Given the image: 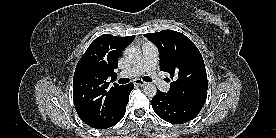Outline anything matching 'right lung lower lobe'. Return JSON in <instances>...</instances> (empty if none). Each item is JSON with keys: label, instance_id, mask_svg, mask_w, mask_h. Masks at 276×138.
I'll use <instances>...</instances> for the list:
<instances>
[{"label": "right lung lower lobe", "instance_id": "1", "mask_svg": "<svg viewBox=\"0 0 276 138\" xmlns=\"http://www.w3.org/2000/svg\"><path fill=\"white\" fill-rule=\"evenodd\" d=\"M133 87H134L133 83H129V84L125 85L124 98H123L122 106H121L120 111H119L118 115L116 116L115 120L113 121V123L109 127L117 124L123 118V116L125 115L126 106L128 104V101H129V94L133 90ZM109 127H107V128H109Z\"/></svg>", "mask_w": 276, "mask_h": 138}]
</instances>
